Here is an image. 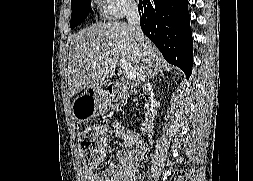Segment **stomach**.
Masks as SVG:
<instances>
[{
	"instance_id": "1",
	"label": "stomach",
	"mask_w": 253,
	"mask_h": 181,
	"mask_svg": "<svg viewBox=\"0 0 253 181\" xmlns=\"http://www.w3.org/2000/svg\"><path fill=\"white\" fill-rule=\"evenodd\" d=\"M85 97L84 99H81ZM109 96L101 88H89L73 102V115L78 121H85L107 111Z\"/></svg>"
}]
</instances>
